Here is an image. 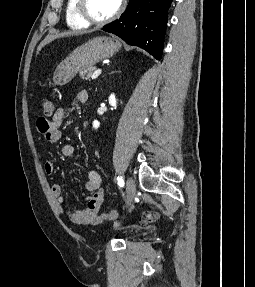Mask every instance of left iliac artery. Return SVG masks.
I'll return each instance as SVG.
<instances>
[{"label":"left iliac artery","instance_id":"left-iliac-artery-1","mask_svg":"<svg viewBox=\"0 0 255 287\" xmlns=\"http://www.w3.org/2000/svg\"><path fill=\"white\" fill-rule=\"evenodd\" d=\"M117 180H118V185H119L120 187H123V186H124V181H123V179H122L121 177H118Z\"/></svg>","mask_w":255,"mask_h":287}]
</instances>
